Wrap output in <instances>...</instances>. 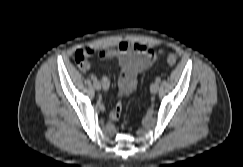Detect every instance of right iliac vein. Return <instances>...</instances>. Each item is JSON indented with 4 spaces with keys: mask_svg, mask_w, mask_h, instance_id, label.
I'll use <instances>...</instances> for the list:
<instances>
[{
    "mask_svg": "<svg viewBox=\"0 0 243 167\" xmlns=\"http://www.w3.org/2000/svg\"><path fill=\"white\" fill-rule=\"evenodd\" d=\"M94 88L96 89V90H100L101 89V84H100V82H98V81H95L94 82Z\"/></svg>",
    "mask_w": 243,
    "mask_h": 167,
    "instance_id": "63e3f726",
    "label": "right iliac vein"
}]
</instances>
